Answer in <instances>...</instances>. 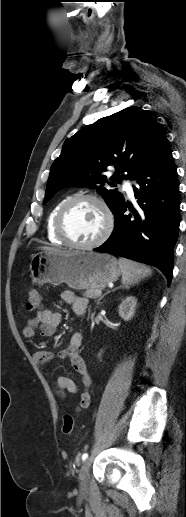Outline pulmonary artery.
Instances as JSON below:
<instances>
[{
  "mask_svg": "<svg viewBox=\"0 0 186 517\" xmlns=\"http://www.w3.org/2000/svg\"><path fill=\"white\" fill-rule=\"evenodd\" d=\"M123 188H124V190L126 191L127 195L130 198L134 197V191H133V188H132V182L130 180H125L123 182Z\"/></svg>",
  "mask_w": 186,
  "mask_h": 517,
  "instance_id": "pulmonary-artery-1",
  "label": "pulmonary artery"
}]
</instances>
